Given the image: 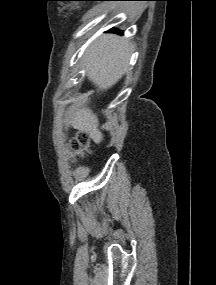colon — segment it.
Wrapping results in <instances>:
<instances>
[{
  "label": "colon",
  "mask_w": 216,
  "mask_h": 285,
  "mask_svg": "<svg viewBox=\"0 0 216 285\" xmlns=\"http://www.w3.org/2000/svg\"><path fill=\"white\" fill-rule=\"evenodd\" d=\"M74 154L83 155L88 149V137L86 134L80 135L74 142Z\"/></svg>",
  "instance_id": "obj_1"
}]
</instances>
